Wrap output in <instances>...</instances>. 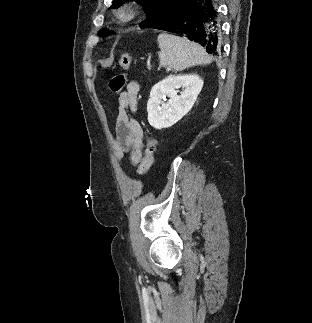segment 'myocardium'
Segmentation results:
<instances>
[{"label":"myocardium","mask_w":312,"mask_h":323,"mask_svg":"<svg viewBox=\"0 0 312 323\" xmlns=\"http://www.w3.org/2000/svg\"><path fill=\"white\" fill-rule=\"evenodd\" d=\"M124 8L126 10H113L112 15L113 17H120V19L124 21L126 25H129L133 17L134 19H137L139 15L138 11H140L141 5H137L136 3H126ZM141 11H147L146 5H143Z\"/></svg>","instance_id":"myocardium-1"}]
</instances>
